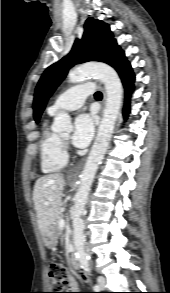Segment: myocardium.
<instances>
[{
	"label": "myocardium",
	"instance_id": "1",
	"mask_svg": "<svg viewBox=\"0 0 170 293\" xmlns=\"http://www.w3.org/2000/svg\"><path fill=\"white\" fill-rule=\"evenodd\" d=\"M60 139V141H61V143H64V141H65V139L64 138H59Z\"/></svg>",
	"mask_w": 170,
	"mask_h": 293
}]
</instances>
